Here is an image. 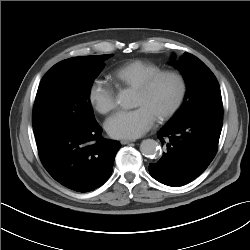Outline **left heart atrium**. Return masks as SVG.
<instances>
[{
    "instance_id": "left-heart-atrium-1",
    "label": "left heart atrium",
    "mask_w": 250,
    "mask_h": 250,
    "mask_svg": "<svg viewBox=\"0 0 250 250\" xmlns=\"http://www.w3.org/2000/svg\"><path fill=\"white\" fill-rule=\"evenodd\" d=\"M154 116L143 106L118 111L106 121L107 132L114 138L135 139L145 134L154 124Z\"/></svg>"
}]
</instances>
